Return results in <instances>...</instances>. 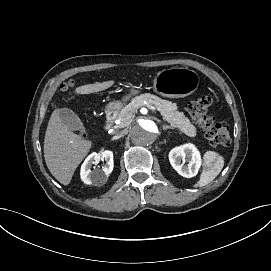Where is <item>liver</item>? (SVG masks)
<instances>
[{
  "instance_id": "1",
  "label": "liver",
  "mask_w": 271,
  "mask_h": 271,
  "mask_svg": "<svg viewBox=\"0 0 271 271\" xmlns=\"http://www.w3.org/2000/svg\"><path fill=\"white\" fill-rule=\"evenodd\" d=\"M114 81L96 82L77 87L78 94H90L111 87ZM91 141L67 129L55 110L48 122L44 139V158L51 174L63 185H68L74 171L91 148Z\"/></svg>"
}]
</instances>
